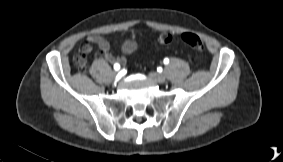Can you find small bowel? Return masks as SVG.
<instances>
[{
  "instance_id": "small-bowel-1",
  "label": "small bowel",
  "mask_w": 283,
  "mask_h": 162,
  "mask_svg": "<svg viewBox=\"0 0 283 162\" xmlns=\"http://www.w3.org/2000/svg\"><path fill=\"white\" fill-rule=\"evenodd\" d=\"M93 45L98 47L97 59L100 61H113V56L110 52L109 42L98 34L89 35L85 42L81 45L79 53L87 55L92 51Z\"/></svg>"
}]
</instances>
